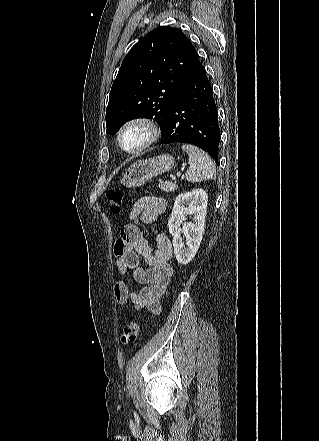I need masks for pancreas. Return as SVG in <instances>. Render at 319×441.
I'll use <instances>...</instances> for the list:
<instances>
[{"label":"pancreas","mask_w":319,"mask_h":441,"mask_svg":"<svg viewBox=\"0 0 319 441\" xmlns=\"http://www.w3.org/2000/svg\"><path fill=\"white\" fill-rule=\"evenodd\" d=\"M159 188L165 192H173L177 190V185L169 181H159Z\"/></svg>","instance_id":"pancreas-1"}]
</instances>
